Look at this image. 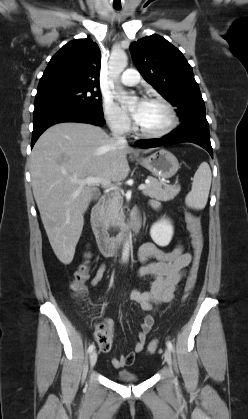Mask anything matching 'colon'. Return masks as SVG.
<instances>
[{
  "instance_id": "5ec220e1",
  "label": "colon",
  "mask_w": 248,
  "mask_h": 419,
  "mask_svg": "<svg viewBox=\"0 0 248 419\" xmlns=\"http://www.w3.org/2000/svg\"><path fill=\"white\" fill-rule=\"evenodd\" d=\"M185 221L187 230L190 234L193 247V261L190 266L189 274L184 285L183 300L186 301L195 288L197 282L198 268L203 253L204 239L200 219L190 212L185 213ZM90 267L87 262H84L76 270L73 280L71 282V290L73 295L82 299L85 296V283L89 278ZM94 338L98 344H105L112 338V331L109 327L99 324L94 332ZM160 342L155 339L152 340L147 347L150 354L155 353L159 348Z\"/></svg>"
}]
</instances>
